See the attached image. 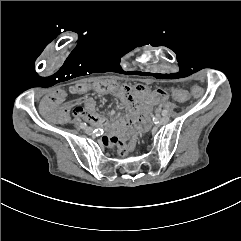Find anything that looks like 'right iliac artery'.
<instances>
[{
    "label": "right iliac artery",
    "instance_id": "obj_1",
    "mask_svg": "<svg viewBox=\"0 0 241 241\" xmlns=\"http://www.w3.org/2000/svg\"><path fill=\"white\" fill-rule=\"evenodd\" d=\"M80 127H81L82 129H85V128L87 127V124H86V123H81Z\"/></svg>",
    "mask_w": 241,
    "mask_h": 241
}]
</instances>
